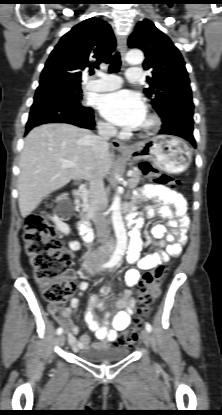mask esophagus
<instances>
[{"label": "esophagus", "instance_id": "34e87169", "mask_svg": "<svg viewBox=\"0 0 222 415\" xmlns=\"http://www.w3.org/2000/svg\"><path fill=\"white\" fill-rule=\"evenodd\" d=\"M118 45H119V49H120L123 64H125V55H126V51H127L126 39L123 38V37H119L118 38ZM112 146L114 148L120 149V150H128L129 149L126 144H124L123 142H121L117 139L112 140Z\"/></svg>", "mask_w": 222, "mask_h": 415}]
</instances>
